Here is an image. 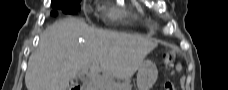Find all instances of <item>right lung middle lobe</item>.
Listing matches in <instances>:
<instances>
[{
    "instance_id": "right-lung-middle-lobe-1",
    "label": "right lung middle lobe",
    "mask_w": 228,
    "mask_h": 90,
    "mask_svg": "<svg viewBox=\"0 0 228 90\" xmlns=\"http://www.w3.org/2000/svg\"><path fill=\"white\" fill-rule=\"evenodd\" d=\"M79 2L80 0H52L51 5L62 9L64 13L74 14L80 9ZM52 15H56V12H52Z\"/></svg>"
}]
</instances>
